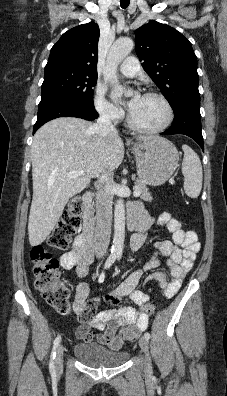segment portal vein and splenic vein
Listing matches in <instances>:
<instances>
[{
  "instance_id": "1",
  "label": "portal vein and splenic vein",
  "mask_w": 227,
  "mask_h": 396,
  "mask_svg": "<svg viewBox=\"0 0 227 396\" xmlns=\"http://www.w3.org/2000/svg\"><path fill=\"white\" fill-rule=\"evenodd\" d=\"M82 174H83L82 171H78V172L73 171V172H69L67 174V176L68 177H77V176H81ZM133 194H134L135 197H138L140 195V191L137 190V188H134V193Z\"/></svg>"
}]
</instances>
